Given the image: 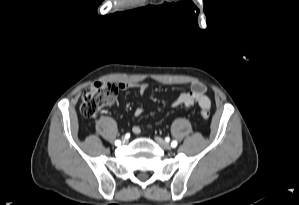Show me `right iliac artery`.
Listing matches in <instances>:
<instances>
[{
    "label": "right iliac artery",
    "mask_w": 299,
    "mask_h": 205,
    "mask_svg": "<svg viewBox=\"0 0 299 205\" xmlns=\"http://www.w3.org/2000/svg\"><path fill=\"white\" fill-rule=\"evenodd\" d=\"M121 144L120 140L115 141V145L119 146Z\"/></svg>",
    "instance_id": "82829eb1"
}]
</instances>
